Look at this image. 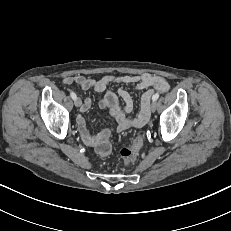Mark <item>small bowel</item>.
I'll return each instance as SVG.
<instances>
[{"label":"small bowel","mask_w":231,"mask_h":231,"mask_svg":"<svg viewBox=\"0 0 231 231\" xmlns=\"http://www.w3.org/2000/svg\"><path fill=\"white\" fill-rule=\"evenodd\" d=\"M67 85L76 84L81 90L93 89L101 93L100 107L110 112L117 122L116 131L120 132L129 127H140L148 120V105L154 90L166 92L170 85L167 79L160 75L144 73L141 75H103L98 79L86 78L81 75L67 76L63 79ZM112 83L131 85L137 90H145L141 96V110L138 116L131 117L129 114L133 110V99L128 91L118 88L116 91L109 88ZM120 99L122 103L120 102ZM92 106L91 99L84 100L81 112L88 111ZM77 125L82 141L89 147H96L104 132L92 135L86 128L83 115H78Z\"/></svg>","instance_id":"obj_1"}]
</instances>
